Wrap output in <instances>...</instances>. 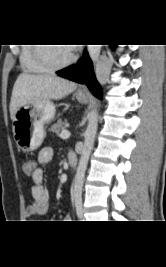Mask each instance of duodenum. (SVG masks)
Returning <instances> with one entry per match:
<instances>
[{"mask_svg":"<svg viewBox=\"0 0 166 267\" xmlns=\"http://www.w3.org/2000/svg\"><path fill=\"white\" fill-rule=\"evenodd\" d=\"M68 164L71 168H76L77 167V158L75 156H69L68 157Z\"/></svg>","mask_w":166,"mask_h":267,"instance_id":"1","label":"duodenum"}]
</instances>
